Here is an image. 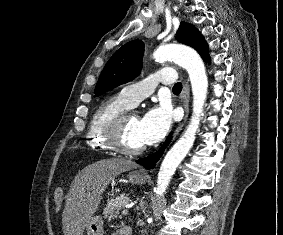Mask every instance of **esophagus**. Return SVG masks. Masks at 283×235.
<instances>
[{"label":"esophagus","instance_id":"esophagus-1","mask_svg":"<svg viewBox=\"0 0 283 235\" xmlns=\"http://www.w3.org/2000/svg\"><path fill=\"white\" fill-rule=\"evenodd\" d=\"M181 98H182V105H183L185 114H184L183 121L179 124V126L175 130L174 137H176L179 134V132L182 130V128H183V126H184V124L187 120L188 113H189L190 87H189L188 80L185 81ZM141 172L146 174V172L144 170H142Z\"/></svg>","mask_w":283,"mask_h":235}]
</instances>
